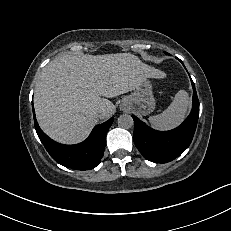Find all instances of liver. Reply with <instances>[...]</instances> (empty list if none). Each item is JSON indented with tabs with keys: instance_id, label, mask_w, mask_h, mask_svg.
<instances>
[{
	"instance_id": "6515ba94",
	"label": "liver",
	"mask_w": 231,
	"mask_h": 231,
	"mask_svg": "<svg viewBox=\"0 0 231 231\" xmlns=\"http://www.w3.org/2000/svg\"><path fill=\"white\" fill-rule=\"evenodd\" d=\"M165 77L164 72L131 53L58 56L43 68L36 84L38 123L57 142L79 143L99 119L114 113L115 107L107 98L132 91L147 78ZM99 109L103 110L101 115Z\"/></svg>"
}]
</instances>
